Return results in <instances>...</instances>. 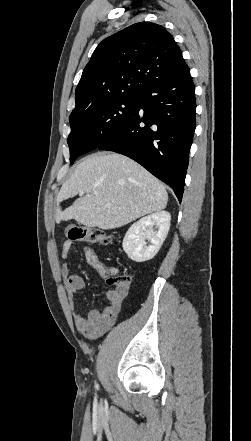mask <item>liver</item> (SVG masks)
Masks as SVG:
<instances>
[{"label":"liver","mask_w":251,"mask_h":441,"mask_svg":"<svg viewBox=\"0 0 251 441\" xmlns=\"http://www.w3.org/2000/svg\"><path fill=\"white\" fill-rule=\"evenodd\" d=\"M80 192L85 195L62 211L59 204ZM167 201L164 185L141 165L117 153H98L79 163L62 185L55 219L109 230L161 211Z\"/></svg>","instance_id":"1"}]
</instances>
